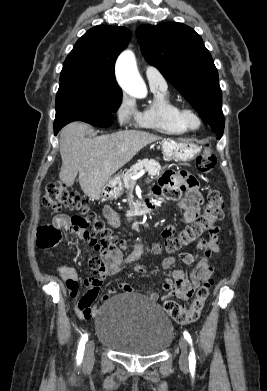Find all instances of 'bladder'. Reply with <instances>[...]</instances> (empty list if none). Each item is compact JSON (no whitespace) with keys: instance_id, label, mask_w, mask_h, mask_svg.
<instances>
[{"instance_id":"31cf9c89","label":"bladder","mask_w":267,"mask_h":391,"mask_svg":"<svg viewBox=\"0 0 267 391\" xmlns=\"http://www.w3.org/2000/svg\"><path fill=\"white\" fill-rule=\"evenodd\" d=\"M95 327L101 344L128 355L160 354L174 337L173 324L161 307L134 294L106 301L98 310Z\"/></svg>"}]
</instances>
